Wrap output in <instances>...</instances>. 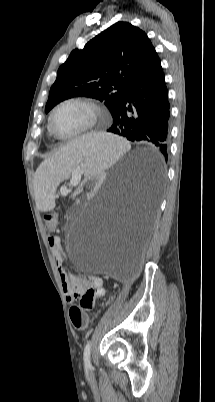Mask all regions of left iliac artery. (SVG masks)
<instances>
[{"label":"left iliac artery","mask_w":215,"mask_h":402,"mask_svg":"<svg viewBox=\"0 0 215 402\" xmlns=\"http://www.w3.org/2000/svg\"><path fill=\"white\" fill-rule=\"evenodd\" d=\"M90 352H91V342L89 341L84 348V355H83L84 365L87 368L91 367Z\"/></svg>","instance_id":"obj_1"}]
</instances>
